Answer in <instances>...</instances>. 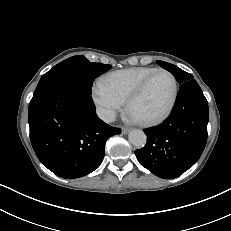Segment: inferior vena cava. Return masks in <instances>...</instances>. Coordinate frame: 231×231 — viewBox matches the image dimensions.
<instances>
[{"label": "inferior vena cava", "instance_id": "obj_1", "mask_svg": "<svg viewBox=\"0 0 231 231\" xmlns=\"http://www.w3.org/2000/svg\"><path fill=\"white\" fill-rule=\"evenodd\" d=\"M98 117L106 123L114 122L116 119L115 112L110 109L98 108L97 109Z\"/></svg>", "mask_w": 231, "mask_h": 231}]
</instances>
